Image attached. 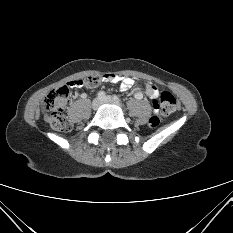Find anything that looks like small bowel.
I'll list each match as a JSON object with an SVG mask.
<instances>
[{
    "mask_svg": "<svg viewBox=\"0 0 233 233\" xmlns=\"http://www.w3.org/2000/svg\"><path fill=\"white\" fill-rule=\"evenodd\" d=\"M101 81L103 82H111V83H119L120 84V89L122 91H127L129 90L133 85H134V80L132 78H128V77H121L118 75H114V74H105L103 76H101ZM66 88L67 89H76L79 88L80 92H85L86 91V86L83 82L82 79H77L75 81H70L66 83ZM144 93L145 95H147L149 98L152 99V101L154 99H156L159 95V91L157 89L156 86L150 84V83H145L144 84ZM135 97L137 99H142L143 98V93L141 91H138L135 94ZM155 108V114L158 115V108L154 105Z\"/></svg>",
    "mask_w": 233,
    "mask_h": 233,
    "instance_id": "small-bowel-1",
    "label": "small bowel"
}]
</instances>
